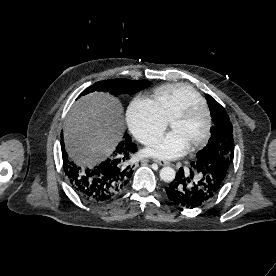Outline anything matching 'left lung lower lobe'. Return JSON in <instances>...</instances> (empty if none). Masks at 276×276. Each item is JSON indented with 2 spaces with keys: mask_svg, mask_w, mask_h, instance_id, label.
<instances>
[{
  "mask_svg": "<svg viewBox=\"0 0 276 276\" xmlns=\"http://www.w3.org/2000/svg\"><path fill=\"white\" fill-rule=\"evenodd\" d=\"M200 161H193L189 171L179 169L176 178L166 188L168 198L176 205L193 209L215 197L223 181L219 175L210 172Z\"/></svg>",
  "mask_w": 276,
  "mask_h": 276,
  "instance_id": "obj_1",
  "label": "left lung lower lobe"
}]
</instances>
